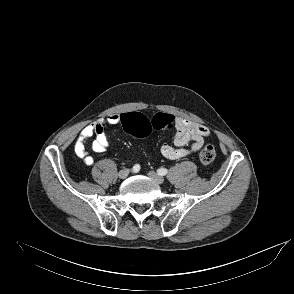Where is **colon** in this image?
<instances>
[{
  "instance_id": "obj_1",
  "label": "colon",
  "mask_w": 294,
  "mask_h": 294,
  "mask_svg": "<svg viewBox=\"0 0 294 294\" xmlns=\"http://www.w3.org/2000/svg\"><path fill=\"white\" fill-rule=\"evenodd\" d=\"M121 124L127 133L143 138L148 136L154 129H171L175 125V118L170 114L159 113L150 120L141 113L132 112L122 115ZM215 157V148L210 144L204 145L199 152V160L204 165L212 163Z\"/></svg>"
}]
</instances>
